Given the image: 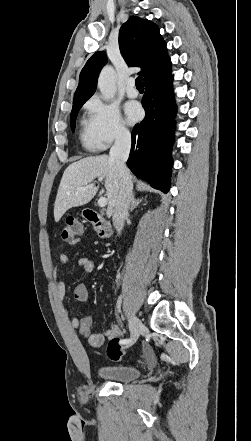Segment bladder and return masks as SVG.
Wrapping results in <instances>:
<instances>
[{
  "label": "bladder",
  "mask_w": 251,
  "mask_h": 441,
  "mask_svg": "<svg viewBox=\"0 0 251 441\" xmlns=\"http://www.w3.org/2000/svg\"><path fill=\"white\" fill-rule=\"evenodd\" d=\"M100 378L113 382H130L137 379L141 372L132 366H102L97 369Z\"/></svg>",
  "instance_id": "bladder-1"
}]
</instances>
